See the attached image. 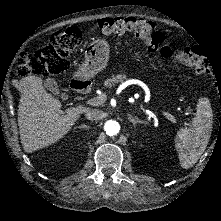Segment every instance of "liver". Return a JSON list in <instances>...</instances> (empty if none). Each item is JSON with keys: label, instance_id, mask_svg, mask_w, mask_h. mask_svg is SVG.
<instances>
[{"label": "liver", "instance_id": "1", "mask_svg": "<svg viewBox=\"0 0 221 221\" xmlns=\"http://www.w3.org/2000/svg\"><path fill=\"white\" fill-rule=\"evenodd\" d=\"M19 92L17 121L21 144L26 151H34L55 142L88 108L68 107L61 110V102L46 93L38 77L16 81Z\"/></svg>", "mask_w": 221, "mask_h": 221}]
</instances>
